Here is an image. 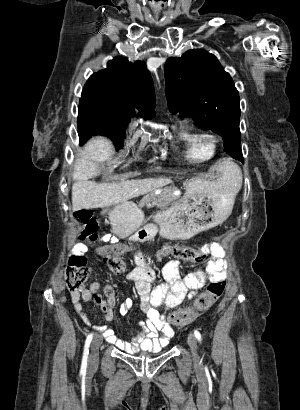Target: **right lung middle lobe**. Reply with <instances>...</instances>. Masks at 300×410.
<instances>
[{
	"label": "right lung middle lobe",
	"instance_id": "1",
	"mask_svg": "<svg viewBox=\"0 0 300 410\" xmlns=\"http://www.w3.org/2000/svg\"><path fill=\"white\" fill-rule=\"evenodd\" d=\"M81 96L78 108L80 141L99 134L110 137L117 147L122 145L128 121L106 115L100 96L85 91Z\"/></svg>",
	"mask_w": 300,
	"mask_h": 410
}]
</instances>
